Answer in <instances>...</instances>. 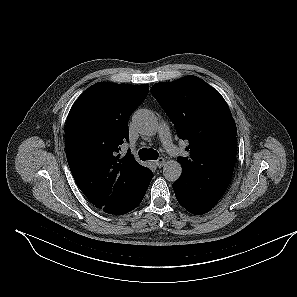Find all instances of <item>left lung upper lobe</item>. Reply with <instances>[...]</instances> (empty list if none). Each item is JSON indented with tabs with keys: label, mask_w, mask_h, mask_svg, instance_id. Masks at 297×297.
<instances>
[{
	"label": "left lung upper lobe",
	"mask_w": 297,
	"mask_h": 297,
	"mask_svg": "<svg viewBox=\"0 0 297 297\" xmlns=\"http://www.w3.org/2000/svg\"><path fill=\"white\" fill-rule=\"evenodd\" d=\"M151 94L189 145L190 157H178L185 179L183 202L220 200L236 160V124L221 94L202 79L186 76L156 83Z\"/></svg>",
	"instance_id": "1"
}]
</instances>
